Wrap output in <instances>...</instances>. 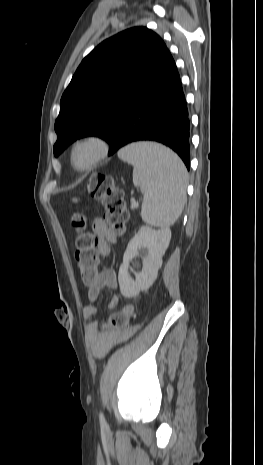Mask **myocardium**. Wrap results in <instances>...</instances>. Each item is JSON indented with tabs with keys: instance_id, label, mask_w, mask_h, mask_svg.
<instances>
[{
	"instance_id": "obj_1",
	"label": "myocardium",
	"mask_w": 263,
	"mask_h": 465,
	"mask_svg": "<svg viewBox=\"0 0 263 465\" xmlns=\"http://www.w3.org/2000/svg\"><path fill=\"white\" fill-rule=\"evenodd\" d=\"M91 143L96 146L97 151L94 158L85 166L78 167L74 163V153L77 147L83 144ZM110 152V142L108 139L99 133H88L76 138L69 149V162L73 169L79 172H89L95 169L102 161H104Z\"/></svg>"
}]
</instances>
